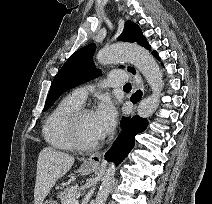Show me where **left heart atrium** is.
Listing matches in <instances>:
<instances>
[{
	"mask_svg": "<svg viewBox=\"0 0 212 204\" xmlns=\"http://www.w3.org/2000/svg\"><path fill=\"white\" fill-rule=\"evenodd\" d=\"M95 117L98 124L100 138H103L114 129L117 112L111 102L103 101L95 111Z\"/></svg>",
	"mask_w": 212,
	"mask_h": 204,
	"instance_id": "left-heart-atrium-1",
	"label": "left heart atrium"
}]
</instances>
